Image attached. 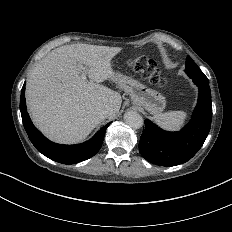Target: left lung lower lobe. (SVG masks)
Returning a JSON list of instances; mask_svg holds the SVG:
<instances>
[{
  "mask_svg": "<svg viewBox=\"0 0 232 232\" xmlns=\"http://www.w3.org/2000/svg\"><path fill=\"white\" fill-rule=\"evenodd\" d=\"M198 102L190 122L180 131L167 132L145 120L139 150L150 163L171 167L190 160L204 144L210 131L212 101L209 86L197 85Z\"/></svg>",
  "mask_w": 232,
  "mask_h": 232,
  "instance_id": "left-lung-lower-lobe-1",
  "label": "left lung lower lobe"
}]
</instances>
